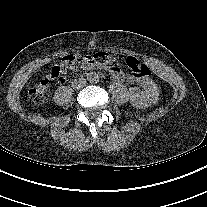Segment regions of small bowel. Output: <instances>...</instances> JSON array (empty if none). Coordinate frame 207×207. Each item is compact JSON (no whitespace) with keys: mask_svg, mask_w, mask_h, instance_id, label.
Listing matches in <instances>:
<instances>
[{"mask_svg":"<svg viewBox=\"0 0 207 207\" xmlns=\"http://www.w3.org/2000/svg\"><path fill=\"white\" fill-rule=\"evenodd\" d=\"M110 75L116 82L131 81V77L118 67H112L110 69ZM56 79L60 84L65 81L62 76ZM138 83V87H130L128 89V97L130 102L138 108H146L155 104L158 98V88L155 82L150 78H143L139 80Z\"/></svg>","mask_w":207,"mask_h":207,"instance_id":"c3829d8e","label":"small bowel"}]
</instances>
